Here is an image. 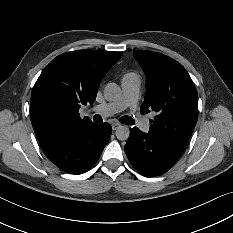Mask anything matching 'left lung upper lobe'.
Returning <instances> with one entry per match:
<instances>
[{"label": "left lung upper lobe", "mask_w": 233, "mask_h": 233, "mask_svg": "<svg viewBox=\"0 0 233 233\" xmlns=\"http://www.w3.org/2000/svg\"><path fill=\"white\" fill-rule=\"evenodd\" d=\"M146 75L141 113H157L149 134L186 144L198 119V93L186 69L174 59L152 51H134Z\"/></svg>", "instance_id": "5c2ea615"}]
</instances>
